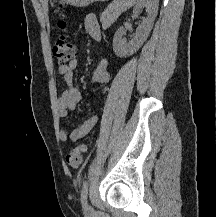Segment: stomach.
Segmentation results:
<instances>
[{"mask_svg":"<svg viewBox=\"0 0 216 217\" xmlns=\"http://www.w3.org/2000/svg\"><path fill=\"white\" fill-rule=\"evenodd\" d=\"M107 0H59L61 4H70L76 7H86L94 2H105Z\"/></svg>","mask_w":216,"mask_h":217,"instance_id":"1","label":"stomach"}]
</instances>
